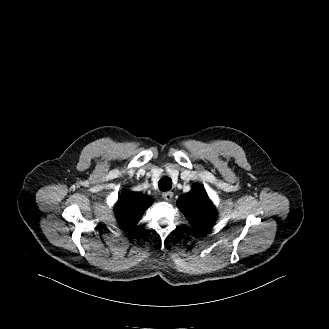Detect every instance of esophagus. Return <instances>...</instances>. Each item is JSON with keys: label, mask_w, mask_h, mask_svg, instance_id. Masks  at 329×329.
<instances>
[{"label": "esophagus", "mask_w": 329, "mask_h": 329, "mask_svg": "<svg viewBox=\"0 0 329 329\" xmlns=\"http://www.w3.org/2000/svg\"><path fill=\"white\" fill-rule=\"evenodd\" d=\"M162 197H163L166 201H172V199H173V192H171V191L164 192V193L162 194Z\"/></svg>", "instance_id": "1"}]
</instances>
